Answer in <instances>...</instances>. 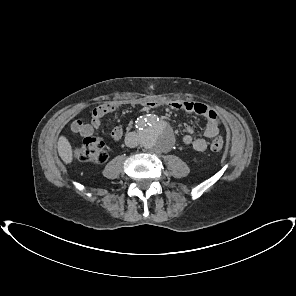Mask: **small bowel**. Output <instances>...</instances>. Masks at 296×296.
I'll use <instances>...</instances> for the list:
<instances>
[{
	"instance_id": "small-bowel-1",
	"label": "small bowel",
	"mask_w": 296,
	"mask_h": 296,
	"mask_svg": "<svg viewBox=\"0 0 296 296\" xmlns=\"http://www.w3.org/2000/svg\"><path fill=\"white\" fill-rule=\"evenodd\" d=\"M161 105L169 106L176 110L196 113L206 118L207 123L203 131V137L194 138L191 127L188 125L184 127L185 133L181 137V143L184 146H189L195 151L203 152L208 147V139L218 135L221 122L216 111L210 106L198 102L170 99L149 101L146 103V106L150 108ZM119 107L120 104L115 101L101 104L93 109L90 122L82 119L75 120L71 124V131L83 137L91 136L95 130L102 127V119L114 113ZM109 134L113 140L118 141L123 136V129L120 126H112L109 128Z\"/></svg>"
}]
</instances>
